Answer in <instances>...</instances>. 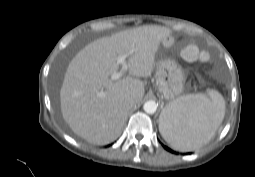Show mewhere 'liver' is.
<instances>
[{"label": "liver", "instance_id": "1", "mask_svg": "<svg viewBox=\"0 0 255 177\" xmlns=\"http://www.w3.org/2000/svg\"><path fill=\"white\" fill-rule=\"evenodd\" d=\"M171 33L157 25L124 30L88 44L70 62L60 90L61 112L72 131L95 145H105L121 134L129 109L125 101L139 103L145 93L138 77H149L160 42ZM127 55L129 76L114 81L117 56ZM106 96L99 97L103 91ZM164 110L160 118L163 117Z\"/></svg>", "mask_w": 255, "mask_h": 177}]
</instances>
